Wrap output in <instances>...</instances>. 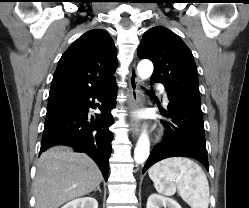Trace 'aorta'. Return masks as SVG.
I'll return each mask as SVG.
<instances>
[{
  "label": "aorta",
  "mask_w": 249,
  "mask_h": 208,
  "mask_svg": "<svg viewBox=\"0 0 249 208\" xmlns=\"http://www.w3.org/2000/svg\"><path fill=\"white\" fill-rule=\"evenodd\" d=\"M138 75L142 79L149 78L153 73V64L150 60L144 59L137 66ZM150 151V141L147 133L144 131L134 150V159L137 163H143L147 160Z\"/></svg>",
  "instance_id": "1"
}]
</instances>
